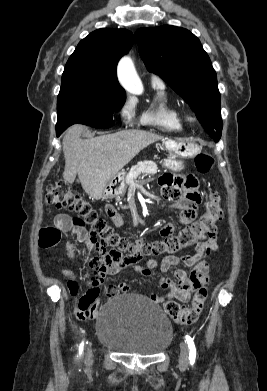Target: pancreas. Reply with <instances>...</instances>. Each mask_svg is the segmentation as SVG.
Listing matches in <instances>:
<instances>
[{
	"mask_svg": "<svg viewBox=\"0 0 267 391\" xmlns=\"http://www.w3.org/2000/svg\"><path fill=\"white\" fill-rule=\"evenodd\" d=\"M158 171V167L153 161H142L138 162L135 166H132L130 171L127 173L125 182L127 185L136 183V179L140 174L154 175Z\"/></svg>",
	"mask_w": 267,
	"mask_h": 391,
	"instance_id": "pancreas-1",
	"label": "pancreas"
}]
</instances>
